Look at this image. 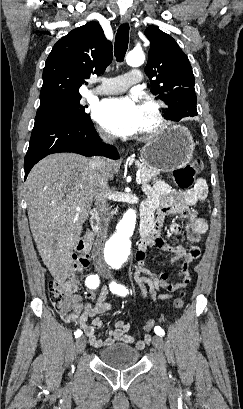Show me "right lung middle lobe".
I'll return each instance as SVG.
<instances>
[{
	"label": "right lung middle lobe",
	"mask_w": 243,
	"mask_h": 409,
	"mask_svg": "<svg viewBox=\"0 0 243 409\" xmlns=\"http://www.w3.org/2000/svg\"><path fill=\"white\" fill-rule=\"evenodd\" d=\"M81 95L69 98H52L40 101L36 117L48 116L61 119H68L74 123H84L90 119V115L85 112V106L80 104Z\"/></svg>",
	"instance_id": "right-lung-middle-lobe-1"
}]
</instances>
